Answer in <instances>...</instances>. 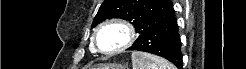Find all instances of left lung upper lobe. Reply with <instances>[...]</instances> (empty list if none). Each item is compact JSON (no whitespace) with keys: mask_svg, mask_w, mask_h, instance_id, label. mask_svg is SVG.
<instances>
[{"mask_svg":"<svg viewBox=\"0 0 246 69\" xmlns=\"http://www.w3.org/2000/svg\"><path fill=\"white\" fill-rule=\"evenodd\" d=\"M175 14L170 0H105L93 20L91 28L109 18L130 21L136 33L168 20Z\"/></svg>","mask_w":246,"mask_h":69,"instance_id":"obj_1","label":"left lung upper lobe"}]
</instances>
